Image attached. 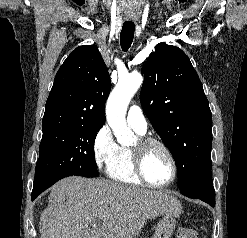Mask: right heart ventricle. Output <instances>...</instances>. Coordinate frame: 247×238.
Here are the masks:
<instances>
[{
  "label": "right heart ventricle",
  "instance_id": "e07e8e85",
  "mask_svg": "<svg viewBox=\"0 0 247 238\" xmlns=\"http://www.w3.org/2000/svg\"><path fill=\"white\" fill-rule=\"evenodd\" d=\"M136 132L143 134L137 130ZM106 173L109 178L122 184H142L134 169L132 149L126 146H118L115 155L106 167Z\"/></svg>",
  "mask_w": 247,
  "mask_h": 238
}]
</instances>
